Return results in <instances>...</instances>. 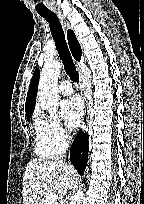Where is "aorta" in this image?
Returning <instances> with one entry per match:
<instances>
[{"label":"aorta","mask_w":144,"mask_h":204,"mask_svg":"<svg viewBox=\"0 0 144 204\" xmlns=\"http://www.w3.org/2000/svg\"><path fill=\"white\" fill-rule=\"evenodd\" d=\"M62 64L58 61L46 62L40 73L39 80V103L51 117H54L58 107L57 83ZM84 184L72 197L70 204H81L83 199Z\"/></svg>","instance_id":"aorta-1"}]
</instances>
